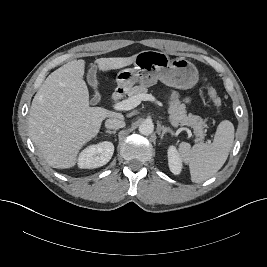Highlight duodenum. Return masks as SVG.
Masks as SVG:
<instances>
[{"label":"duodenum","mask_w":267,"mask_h":267,"mask_svg":"<svg viewBox=\"0 0 267 267\" xmlns=\"http://www.w3.org/2000/svg\"><path fill=\"white\" fill-rule=\"evenodd\" d=\"M123 93H124V91H123L122 89H117V90L113 93V95H112V99H113V100H118V99H120V98L123 96Z\"/></svg>","instance_id":"410a0bca"}]
</instances>
